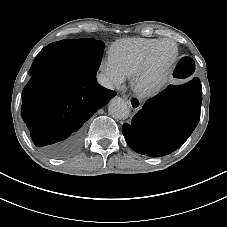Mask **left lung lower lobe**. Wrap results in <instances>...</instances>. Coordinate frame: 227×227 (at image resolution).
<instances>
[{
  "label": "left lung lower lobe",
  "instance_id": "left-lung-lower-lobe-1",
  "mask_svg": "<svg viewBox=\"0 0 227 227\" xmlns=\"http://www.w3.org/2000/svg\"><path fill=\"white\" fill-rule=\"evenodd\" d=\"M194 71V63L180 62L176 78H186ZM202 87L198 78L180 86H168L149 99L125 123L122 132L127 144L137 153L161 157L178 149L191 135L200 117Z\"/></svg>",
  "mask_w": 227,
  "mask_h": 227
}]
</instances>
